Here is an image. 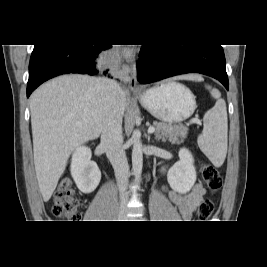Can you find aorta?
Listing matches in <instances>:
<instances>
[{"label": "aorta", "instance_id": "aorta-1", "mask_svg": "<svg viewBox=\"0 0 267 267\" xmlns=\"http://www.w3.org/2000/svg\"><path fill=\"white\" fill-rule=\"evenodd\" d=\"M132 169L135 179L138 181L141 177L143 167V152L141 143V133L135 130L132 134Z\"/></svg>", "mask_w": 267, "mask_h": 267}]
</instances>
